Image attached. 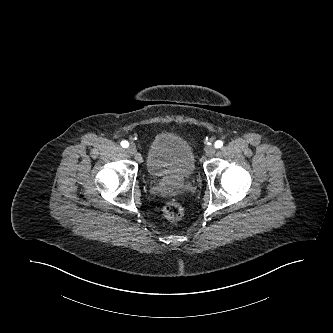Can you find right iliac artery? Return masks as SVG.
I'll list each match as a JSON object with an SVG mask.
<instances>
[{
  "instance_id": "right-iliac-artery-1",
  "label": "right iliac artery",
  "mask_w": 333,
  "mask_h": 333,
  "mask_svg": "<svg viewBox=\"0 0 333 333\" xmlns=\"http://www.w3.org/2000/svg\"><path fill=\"white\" fill-rule=\"evenodd\" d=\"M121 146L123 147V148H127L128 146H129V143L127 142V141H122L121 142Z\"/></svg>"
}]
</instances>
